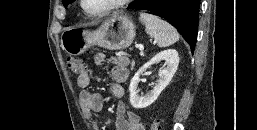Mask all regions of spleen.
I'll use <instances>...</instances> for the list:
<instances>
[{"instance_id": "spleen-1", "label": "spleen", "mask_w": 257, "mask_h": 130, "mask_svg": "<svg viewBox=\"0 0 257 130\" xmlns=\"http://www.w3.org/2000/svg\"><path fill=\"white\" fill-rule=\"evenodd\" d=\"M140 21L145 25L146 33L154 38L156 44L161 48L168 47L179 40L177 30L153 14L141 12Z\"/></svg>"}]
</instances>
